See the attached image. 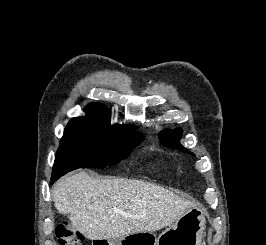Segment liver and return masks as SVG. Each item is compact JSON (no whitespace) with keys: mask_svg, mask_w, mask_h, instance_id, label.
<instances>
[{"mask_svg":"<svg viewBox=\"0 0 266 245\" xmlns=\"http://www.w3.org/2000/svg\"><path fill=\"white\" fill-rule=\"evenodd\" d=\"M52 193L57 211L91 241L160 231L195 207L154 183L93 179L85 171L60 179Z\"/></svg>","mask_w":266,"mask_h":245,"instance_id":"6515ba94","label":"liver"}]
</instances>
